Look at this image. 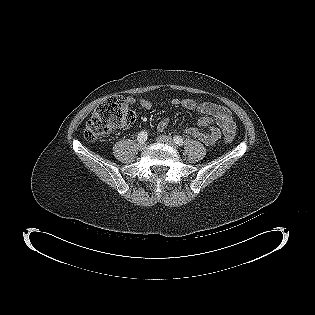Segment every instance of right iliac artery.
Segmentation results:
<instances>
[{
	"label": "right iliac artery",
	"mask_w": 315,
	"mask_h": 315,
	"mask_svg": "<svg viewBox=\"0 0 315 315\" xmlns=\"http://www.w3.org/2000/svg\"><path fill=\"white\" fill-rule=\"evenodd\" d=\"M147 138H148V133L146 131H141L137 136V140L139 142H145Z\"/></svg>",
	"instance_id": "right-iliac-artery-1"
}]
</instances>
